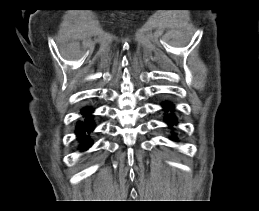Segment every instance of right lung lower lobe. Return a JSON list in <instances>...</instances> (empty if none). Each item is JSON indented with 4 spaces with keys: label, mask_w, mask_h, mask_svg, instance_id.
<instances>
[{
    "label": "right lung lower lobe",
    "mask_w": 259,
    "mask_h": 211,
    "mask_svg": "<svg viewBox=\"0 0 259 211\" xmlns=\"http://www.w3.org/2000/svg\"><path fill=\"white\" fill-rule=\"evenodd\" d=\"M81 113L84 115L85 120L78 122L76 126V134L80 140V149H87L91 146V141L89 140V137L86 135V133H90L94 129V125H91L92 122V109L91 108H85L81 111Z\"/></svg>",
    "instance_id": "obj_1"
}]
</instances>
